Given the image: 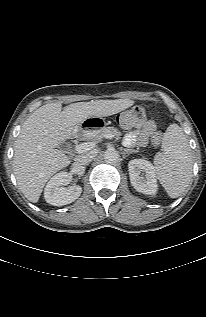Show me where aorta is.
I'll use <instances>...</instances> for the list:
<instances>
[{
    "mask_svg": "<svg viewBox=\"0 0 206 317\" xmlns=\"http://www.w3.org/2000/svg\"><path fill=\"white\" fill-rule=\"evenodd\" d=\"M119 153L115 149H108L104 154V160L108 164H115L119 160Z\"/></svg>",
    "mask_w": 206,
    "mask_h": 317,
    "instance_id": "762f6f07",
    "label": "aorta"
}]
</instances>
